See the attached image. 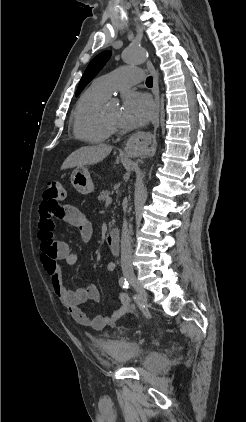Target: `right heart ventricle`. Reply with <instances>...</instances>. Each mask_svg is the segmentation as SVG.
I'll return each mask as SVG.
<instances>
[{
    "label": "right heart ventricle",
    "mask_w": 246,
    "mask_h": 422,
    "mask_svg": "<svg viewBox=\"0 0 246 422\" xmlns=\"http://www.w3.org/2000/svg\"><path fill=\"white\" fill-rule=\"evenodd\" d=\"M108 95L93 85L78 99L72 113L74 135L89 143L105 142L111 135V129L102 119L101 107Z\"/></svg>",
    "instance_id": "e07e8e85"
}]
</instances>
